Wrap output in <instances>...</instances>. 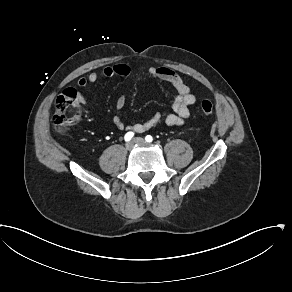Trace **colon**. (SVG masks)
Instances as JSON below:
<instances>
[{
	"label": "colon",
	"mask_w": 292,
	"mask_h": 292,
	"mask_svg": "<svg viewBox=\"0 0 292 292\" xmlns=\"http://www.w3.org/2000/svg\"><path fill=\"white\" fill-rule=\"evenodd\" d=\"M53 124L57 132H60L72 124L78 122L82 117L83 106L76 89H65L56 99ZM201 112L209 116L213 112V104L210 100L201 103Z\"/></svg>",
	"instance_id": "5ec220e1"
}]
</instances>
